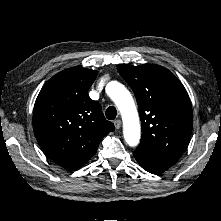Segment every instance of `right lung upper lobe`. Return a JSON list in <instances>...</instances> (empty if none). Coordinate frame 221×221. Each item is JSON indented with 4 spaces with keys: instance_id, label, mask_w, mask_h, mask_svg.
Segmentation results:
<instances>
[{
    "instance_id": "1",
    "label": "right lung upper lobe",
    "mask_w": 221,
    "mask_h": 221,
    "mask_svg": "<svg viewBox=\"0 0 221 221\" xmlns=\"http://www.w3.org/2000/svg\"><path fill=\"white\" fill-rule=\"evenodd\" d=\"M97 71L72 67L54 75L34 106V134L58 165L79 169L96 153L100 141L115 129L98 101L88 95Z\"/></svg>"
}]
</instances>
